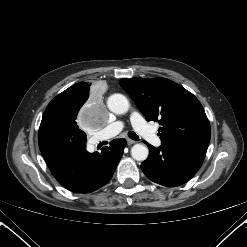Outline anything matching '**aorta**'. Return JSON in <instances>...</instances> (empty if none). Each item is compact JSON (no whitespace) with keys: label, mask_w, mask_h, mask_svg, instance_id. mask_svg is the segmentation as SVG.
Wrapping results in <instances>:
<instances>
[{"label":"aorta","mask_w":247,"mask_h":247,"mask_svg":"<svg viewBox=\"0 0 247 247\" xmlns=\"http://www.w3.org/2000/svg\"><path fill=\"white\" fill-rule=\"evenodd\" d=\"M108 109L115 114H125L129 110L128 99L119 93L111 95L107 100ZM149 155L146 145L135 144L131 148V156L136 161H145Z\"/></svg>","instance_id":"762f6f07"}]
</instances>
